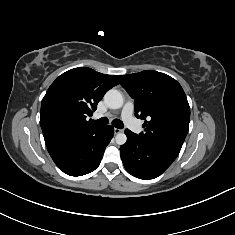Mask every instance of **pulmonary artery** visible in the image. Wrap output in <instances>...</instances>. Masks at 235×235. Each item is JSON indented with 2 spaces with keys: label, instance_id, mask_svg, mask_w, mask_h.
<instances>
[{
  "label": "pulmonary artery",
  "instance_id": "pulmonary-artery-1",
  "mask_svg": "<svg viewBox=\"0 0 235 235\" xmlns=\"http://www.w3.org/2000/svg\"><path fill=\"white\" fill-rule=\"evenodd\" d=\"M134 104L131 100L127 101L121 111V116L125 124L134 132L140 133L142 131V127L140 123L133 117ZM96 118H100L101 115L97 114Z\"/></svg>",
  "mask_w": 235,
  "mask_h": 235
}]
</instances>
